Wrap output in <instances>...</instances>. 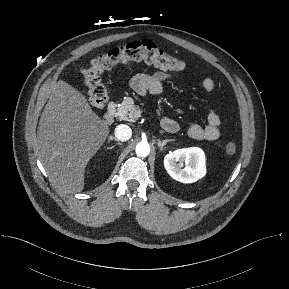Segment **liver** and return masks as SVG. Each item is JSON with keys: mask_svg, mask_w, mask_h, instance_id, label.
<instances>
[{"mask_svg": "<svg viewBox=\"0 0 289 289\" xmlns=\"http://www.w3.org/2000/svg\"><path fill=\"white\" fill-rule=\"evenodd\" d=\"M109 132L80 91L63 80L55 83L37 131V152L50 181L62 192H81L86 166Z\"/></svg>", "mask_w": 289, "mask_h": 289, "instance_id": "obj_1", "label": "liver"}]
</instances>
